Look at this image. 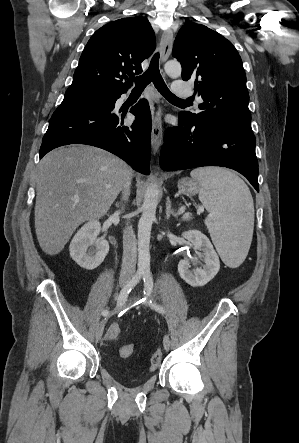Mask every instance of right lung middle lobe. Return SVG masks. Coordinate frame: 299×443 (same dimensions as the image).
I'll return each instance as SVG.
<instances>
[{
  "instance_id": "right-lung-middle-lobe-1",
  "label": "right lung middle lobe",
  "mask_w": 299,
  "mask_h": 443,
  "mask_svg": "<svg viewBox=\"0 0 299 443\" xmlns=\"http://www.w3.org/2000/svg\"><path fill=\"white\" fill-rule=\"evenodd\" d=\"M116 94L91 88L69 87L65 93L64 101L91 102L101 105H112Z\"/></svg>"
}]
</instances>
